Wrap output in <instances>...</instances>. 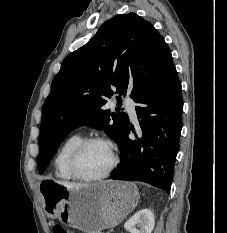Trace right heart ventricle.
Returning a JSON list of instances; mask_svg holds the SVG:
<instances>
[{
    "label": "right heart ventricle",
    "mask_w": 227,
    "mask_h": 233,
    "mask_svg": "<svg viewBox=\"0 0 227 233\" xmlns=\"http://www.w3.org/2000/svg\"><path fill=\"white\" fill-rule=\"evenodd\" d=\"M80 133H74L68 136L59 147L54 158V168L56 176L65 181L73 180L68 167V159L73 148L82 140Z\"/></svg>",
    "instance_id": "right-heart-ventricle-1"
}]
</instances>
